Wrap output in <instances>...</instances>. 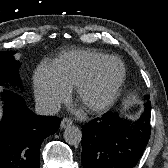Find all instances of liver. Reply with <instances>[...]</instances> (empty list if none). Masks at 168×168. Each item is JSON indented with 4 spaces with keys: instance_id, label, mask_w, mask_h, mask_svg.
<instances>
[{
    "instance_id": "obj_1",
    "label": "liver",
    "mask_w": 168,
    "mask_h": 168,
    "mask_svg": "<svg viewBox=\"0 0 168 168\" xmlns=\"http://www.w3.org/2000/svg\"><path fill=\"white\" fill-rule=\"evenodd\" d=\"M0 118H1V110H0Z\"/></svg>"
}]
</instances>
